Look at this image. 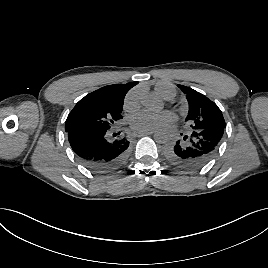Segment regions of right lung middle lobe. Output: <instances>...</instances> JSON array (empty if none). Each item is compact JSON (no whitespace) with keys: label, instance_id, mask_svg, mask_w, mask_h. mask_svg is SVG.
Listing matches in <instances>:
<instances>
[{"label":"right lung middle lobe","instance_id":"1","mask_svg":"<svg viewBox=\"0 0 268 268\" xmlns=\"http://www.w3.org/2000/svg\"><path fill=\"white\" fill-rule=\"evenodd\" d=\"M123 103L106 102L95 96H85L69 113L65 130H109L122 119Z\"/></svg>","mask_w":268,"mask_h":268}]
</instances>
